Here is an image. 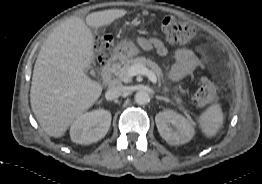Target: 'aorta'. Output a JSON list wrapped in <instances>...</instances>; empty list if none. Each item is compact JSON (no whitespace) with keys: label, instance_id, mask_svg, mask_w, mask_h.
Returning a JSON list of instances; mask_svg holds the SVG:
<instances>
[{"label":"aorta","instance_id":"762f6f07","mask_svg":"<svg viewBox=\"0 0 262 184\" xmlns=\"http://www.w3.org/2000/svg\"><path fill=\"white\" fill-rule=\"evenodd\" d=\"M134 100L137 104L143 105L150 101V97L146 91H138L134 96Z\"/></svg>","mask_w":262,"mask_h":184}]
</instances>
